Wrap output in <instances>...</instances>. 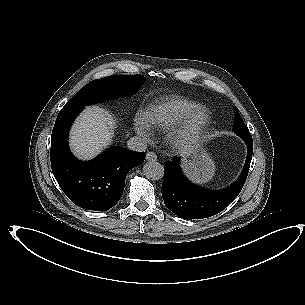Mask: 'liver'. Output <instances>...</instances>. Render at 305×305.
Returning <instances> with one entry per match:
<instances>
[{"instance_id":"1","label":"liver","mask_w":305,"mask_h":305,"mask_svg":"<svg viewBox=\"0 0 305 305\" xmlns=\"http://www.w3.org/2000/svg\"><path fill=\"white\" fill-rule=\"evenodd\" d=\"M116 117L100 105L85 107L69 132V147L80 160H90L107 148L113 139ZM189 149L182 147L181 151Z\"/></svg>"}]
</instances>
